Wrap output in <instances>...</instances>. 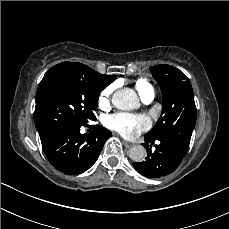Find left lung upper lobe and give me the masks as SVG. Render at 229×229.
<instances>
[{
  "label": "left lung upper lobe",
  "mask_w": 229,
  "mask_h": 229,
  "mask_svg": "<svg viewBox=\"0 0 229 229\" xmlns=\"http://www.w3.org/2000/svg\"><path fill=\"white\" fill-rule=\"evenodd\" d=\"M150 70L162 91V113L145 136L170 139L188 149L197 115L189 78L171 65L151 66Z\"/></svg>",
  "instance_id": "5c2ea615"
}]
</instances>
